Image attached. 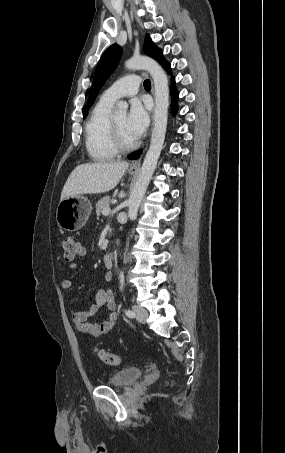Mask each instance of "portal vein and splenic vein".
Masks as SVG:
<instances>
[{"mask_svg":"<svg viewBox=\"0 0 285 453\" xmlns=\"http://www.w3.org/2000/svg\"><path fill=\"white\" fill-rule=\"evenodd\" d=\"M102 214H103L104 216L109 215V214H110V209H104V210L102 211Z\"/></svg>","mask_w":285,"mask_h":453,"instance_id":"portal-vein-and-splenic-vein-1","label":"portal vein and splenic vein"}]
</instances>
